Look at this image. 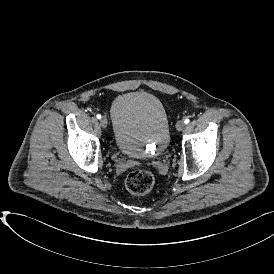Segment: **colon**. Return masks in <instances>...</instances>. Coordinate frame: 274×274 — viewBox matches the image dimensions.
<instances>
[{"label":"colon","instance_id":"obj_1","mask_svg":"<svg viewBox=\"0 0 274 274\" xmlns=\"http://www.w3.org/2000/svg\"><path fill=\"white\" fill-rule=\"evenodd\" d=\"M125 184L132 194L143 196L153 189L155 178L148 171L137 170L126 177Z\"/></svg>","mask_w":274,"mask_h":274}]
</instances>
